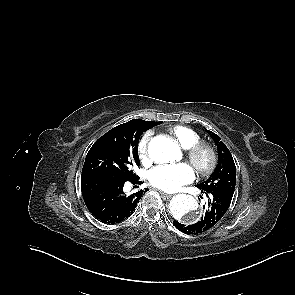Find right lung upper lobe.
Segmentation results:
<instances>
[{
  "label": "right lung upper lobe",
  "instance_id": "right-lung-upper-lobe-1",
  "mask_svg": "<svg viewBox=\"0 0 295 295\" xmlns=\"http://www.w3.org/2000/svg\"><path fill=\"white\" fill-rule=\"evenodd\" d=\"M139 121H141V119H133V120H130L129 122H127V123H123L121 125L116 126L114 129H122V128H125V127H127L129 125H132V124L136 123V122H139Z\"/></svg>",
  "mask_w": 295,
  "mask_h": 295
}]
</instances>
